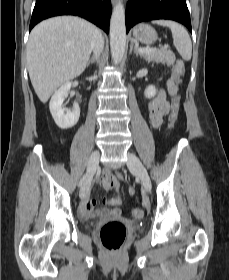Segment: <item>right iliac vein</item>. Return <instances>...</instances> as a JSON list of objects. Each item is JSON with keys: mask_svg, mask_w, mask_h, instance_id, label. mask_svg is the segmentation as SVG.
<instances>
[{"mask_svg": "<svg viewBox=\"0 0 229 280\" xmlns=\"http://www.w3.org/2000/svg\"><path fill=\"white\" fill-rule=\"evenodd\" d=\"M100 154L98 151H94L89 159L87 165V172L84 183L80 189V197H82L83 193L87 191L91 185L93 174L95 173L98 163H99Z\"/></svg>", "mask_w": 229, "mask_h": 280, "instance_id": "right-iliac-vein-1", "label": "right iliac vein"}]
</instances>
